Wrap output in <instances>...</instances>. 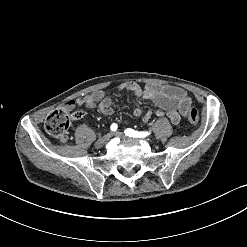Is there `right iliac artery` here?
I'll use <instances>...</instances> for the list:
<instances>
[{
	"label": "right iliac artery",
	"instance_id": "1",
	"mask_svg": "<svg viewBox=\"0 0 247 247\" xmlns=\"http://www.w3.org/2000/svg\"><path fill=\"white\" fill-rule=\"evenodd\" d=\"M118 126L117 124L113 123L110 127L111 131L115 132L117 130Z\"/></svg>",
	"mask_w": 247,
	"mask_h": 247
}]
</instances>
